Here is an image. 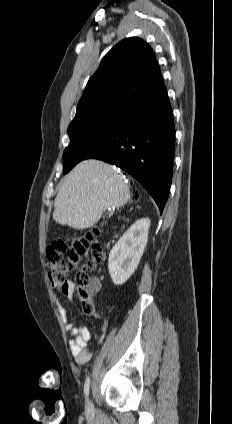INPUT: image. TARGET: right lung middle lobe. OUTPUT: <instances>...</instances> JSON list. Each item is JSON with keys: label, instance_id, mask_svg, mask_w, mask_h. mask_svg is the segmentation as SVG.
<instances>
[{"label": "right lung middle lobe", "instance_id": "dd1d6c3e", "mask_svg": "<svg viewBox=\"0 0 232 424\" xmlns=\"http://www.w3.org/2000/svg\"><path fill=\"white\" fill-rule=\"evenodd\" d=\"M131 106L122 103L103 104L76 113L68 127L70 144L63 153V173H68L126 123Z\"/></svg>", "mask_w": 232, "mask_h": 424}]
</instances>
